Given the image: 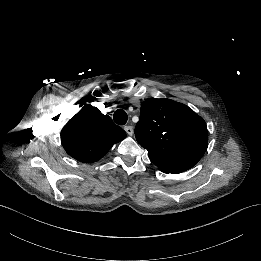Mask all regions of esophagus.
<instances>
[{
    "label": "esophagus",
    "mask_w": 261,
    "mask_h": 261,
    "mask_svg": "<svg viewBox=\"0 0 261 261\" xmlns=\"http://www.w3.org/2000/svg\"><path fill=\"white\" fill-rule=\"evenodd\" d=\"M124 130L126 131V133L130 136L133 135V127L132 126H125Z\"/></svg>",
    "instance_id": "1"
}]
</instances>
